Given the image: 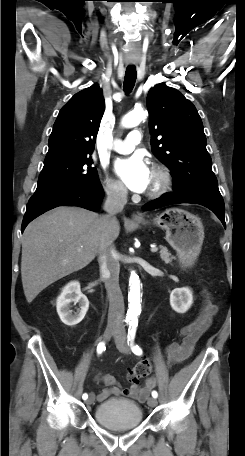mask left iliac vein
Instances as JSON below:
<instances>
[{"label": "left iliac vein", "instance_id": "obj_1", "mask_svg": "<svg viewBox=\"0 0 245 456\" xmlns=\"http://www.w3.org/2000/svg\"><path fill=\"white\" fill-rule=\"evenodd\" d=\"M116 346L118 350L124 354H129L130 353V346L126 342V335L125 331L123 328H120L117 333L114 335ZM148 405L150 407H155L157 405V400L154 397H150L148 399Z\"/></svg>", "mask_w": 245, "mask_h": 456}]
</instances>
